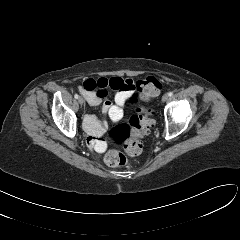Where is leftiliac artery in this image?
<instances>
[{"instance_id":"44dca946","label":"left iliac artery","mask_w":240,"mask_h":240,"mask_svg":"<svg viewBox=\"0 0 240 240\" xmlns=\"http://www.w3.org/2000/svg\"><path fill=\"white\" fill-rule=\"evenodd\" d=\"M172 95H173V92H169V93H168V96H172Z\"/></svg>"}]
</instances>
